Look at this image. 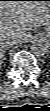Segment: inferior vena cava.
<instances>
[{
    "label": "inferior vena cava",
    "mask_w": 50,
    "mask_h": 111,
    "mask_svg": "<svg viewBox=\"0 0 50 111\" xmlns=\"http://www.w3.org/2000/svg\"><path fill=\"white\" fill-rule=\"evenodd\" d=\"M18 43V39H15V38H10V41H7L4 45H3V48L4 49H7V48H10L11 46H13L14 44Z\"/></svg>",
    "instance_id": "inferior-vena-cava-1"
}]
</instances>
